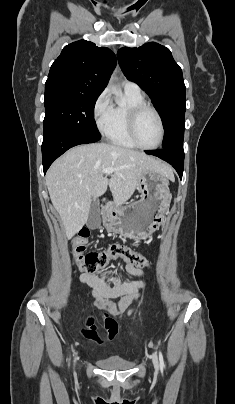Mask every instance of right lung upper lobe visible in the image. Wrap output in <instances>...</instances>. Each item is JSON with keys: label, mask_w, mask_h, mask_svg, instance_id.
<instances>
[{"label": "right lung upper lobe", "mask_w": 235, "mask_h": 404, "mask_svg": "<svg viewBox=\"0 0 235 404\" xmlns=\"http://www.w3.org/2000/svg\"><path fill=\"white\" fill-rule=\"evenodd\" d=\"M116 66L115 54L106 47L79 40L65 46L50 68L46 87H64L100 95Z\"/></svg>", "instance_id": "obj_1"}]
</instances>
